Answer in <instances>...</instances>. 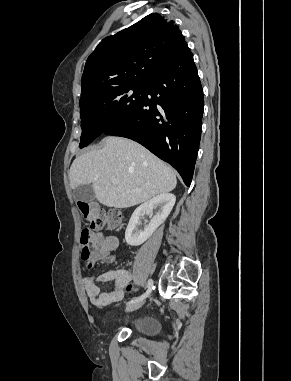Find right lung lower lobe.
Returning <instances> with one entry per match:
<instances>
[{
    "mask_svg": "<svg viewBox=\"0 0 291 381\" xmlns=\"http://www.w3.org/2000/svg\"><path fill=\"white\" fill-rule=\"evenodd\" d=\"M203 91L187 47L146 84L138 109L107 135L132 139L172 165L189 186L201 138Z\"/></svg>",
    "mask_w": 291,
    "mask_h": 381,
    "instance_id": "98d812e1",
    "label": "right lung lower lobe"
}]
</instances>
